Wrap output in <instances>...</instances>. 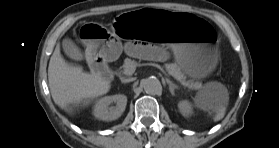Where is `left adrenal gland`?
<instances>
[{"mask_svg":"<svg viewBox=\"0 0 279 148\" xmlns=\"http://www.w3.org/2000/svg\"><path fill=\"white\" fill-rule=\"evenodd\" d=\"M166 82L169 84V90H170L171 94L173 96H175V89H177V86L169 79H166Z\"/></svg>","mask_w":279,"mask_h":148,"instance_id":"1","label":"left adrenal gland"}]
</instances>
